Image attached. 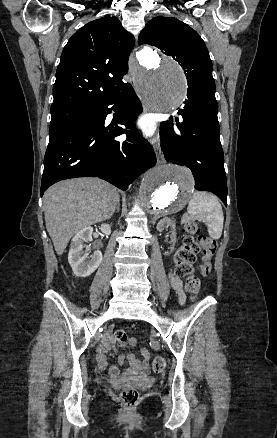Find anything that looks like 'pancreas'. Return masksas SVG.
<instances>
[{
  "mask_svg": "<svg viewBox=\"0 0 277 438\" xmlns=\"http://www.w3.org/2000/svg\"><path fill=\"white\" fill-rule=\"evenodd\" d=\"M181 219L183 223H190L192 218L190 214H183Z\"/></svg>",
  "mask_w": 277,
  "mask_h": 438,
  "instance_id": "cf45deb5",
  "label": "pancreas"
}]
</instances>
